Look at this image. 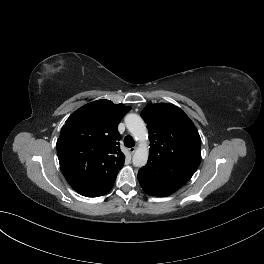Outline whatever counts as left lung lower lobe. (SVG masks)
Segmentation results:
<instances>
[{
    "instance_id": "0a47b994",
    "label": "left lung lower lobe",
    "mask_w": 264,
    "mask_h": 264,
    "mask_svg": "<svg viewBox=\"0 0 264 264\" xmlns=\"http://www.w3.org/2000/svg\"><path fill=\"white\" fill-rule=\"evenodd\" d=\"M138 180L147 194L157 197L172 194L188 181L183 176L163 172L156 163L150 161L139 170Z\"/></svg>"
}]
</instances>
